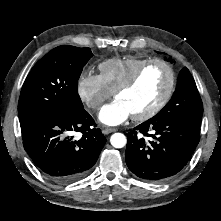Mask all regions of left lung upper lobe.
<instances>
[{"instance_id":"1","label":"left lung upper lobe","mask_w":221,"mask_h":221,"mask_svg":"<svg viewBox=\"0 0 221 221\" xmlns=\"http://www.w3.org/2000/svg\"><path fill=\"white\" fill-rule=\"evenodd\" d=\"M159 114L177 116L198 127L201 126L202 101L195 81L186 67L179 73L176 90L171 100L157 115Z\"/></svg>"}]
</instances>
